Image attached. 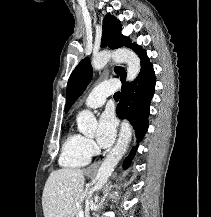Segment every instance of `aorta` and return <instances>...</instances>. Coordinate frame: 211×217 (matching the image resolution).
Listing matches in <instances>:
<instances>
[{
    "label": "aorta",
    "mask_w": 211,
    "mask_h": 217,
    "mask_svg": "<svg viewBox=\"0 0 211 217\" xmlns=\"http://www.w3.org/2000/svg\"><path fill=\"white\" fill-rule=\"evenodd\" d=\"M111 58L115 62L127 64V81H133L136 79L141 69L140 59L133 51L128 49H118L113 52L103 51L98 53L92 60L93 69H102ZM77 125L80 132L85 135H92L96 131L97 120L91 111L84 110L77 116ZM131 136V125L129 121L123 120L120 127L118 141L98 170L96 177L97 182L94 186L96 191L101 190L103 185L107 182L115 166L126 152Z\"/></svg>",
    "instance_id": "aorta-1"
}]
</instances>
